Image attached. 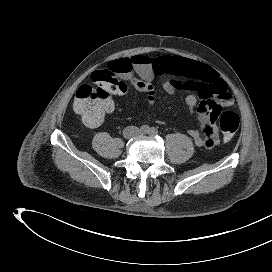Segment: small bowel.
Here are the masks:
<instances>
[{
    "instance_id": "c3829d8e",
    "label": "small bowel",
    "mask_w": 272,
    "mask_h": 272,
    "mask_svg": "<svg viewBox=\"0 0 272 272\" xmlns=\"http://www.w3.org/2000/svg\"><path fill=\"white\" fill-rule=\"evenodd\" d=\"M109 68L129 82L136 90L147 95V106L155 102L152 80L155 75L170 76L163 83L167 94L186 91L185 102L189 108L198 106V119L203 135L197 129H190L189 135L199 147H213L218 144L217 125L219 107L233 104V97L227 83L210 66L182 57L162 56L152 59L144 55L120 58L110 62ZM113 103L107 113L112 112Z\"/></svg>"
}]
</instances>
